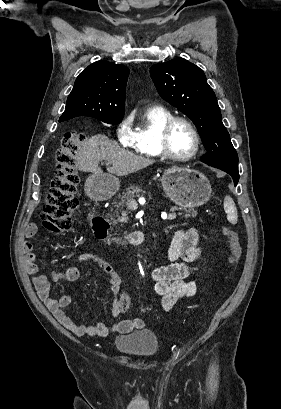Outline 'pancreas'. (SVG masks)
<instances>
[{"label":"pancreas","mask_w":281,"mask_h":409,"mask_svg":"<svg viewBox=\"0 0 281 409\" xmlns=\"http://www.w3.org/2000/svg\"><path fill=\"white\" fill-rule=\"evenodd\" d=\"M127 190L128 192H124L123 196H121V202H119V205H117V207H121L122 215H127L126 211H123V207H127L128 200H131L133 196H142L143 192H145V190H142L141 186H135V184L128 186ZM171 211H178V209L177 207H172ZM186 213H189V215H185V217H196L197 215L196 211H192V209H189V211H186ZM178 215H182V213H178ZM117 221L118 223H126V221H128V217H119Z\"/></svg>","instance_id":"1"}]
</instances>
